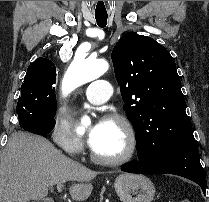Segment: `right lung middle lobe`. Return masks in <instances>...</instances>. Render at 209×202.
Returning a JSON list of instances; mask_svg holds the SVG:
<instances>
[{"label":"right lung middle lobe","mask_w":209,"mask_h":202,"mask_svg":"<svg viewBox=\"0 0 209 202\" xmlns=\"http://www.w3.org/2000/svg\"><path fill=\"white\" fill-rule=\"evenodd\" d=\"M56 75L36 74L24 78L21 95L17 103L19 119L35 117L52 120L56 112L55 84Z\"/></svg>","instance_id":"right-lung-middle-lobe-1"}]
</instances>
